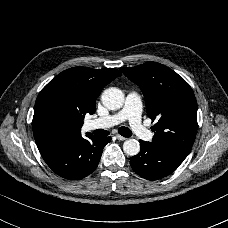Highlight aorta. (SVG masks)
<instances>
[{
	"label": "aorta",
	"instance_id": "aorta-1",
	"mask_svg": "<svg viewBox=\"0 0 228 228\" xmlns=\"http://www.w3.org/2000/svg\"><path fill=\"white\" fill-rule=\"evenodd\" d=\"M102 104L109 110H118L124 103L123 92L116 88L110 87L103 91L101 95ZM123 150L126 154L134 156L140 151V144L137 140H126L123 144Z\"/></svg>",
	"mask_w": 228,
	"mask_h": 228
}]
</instances>
